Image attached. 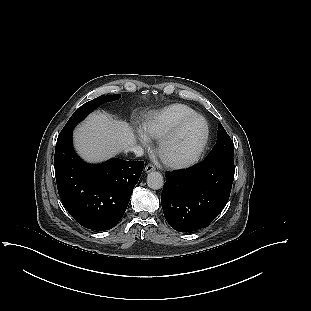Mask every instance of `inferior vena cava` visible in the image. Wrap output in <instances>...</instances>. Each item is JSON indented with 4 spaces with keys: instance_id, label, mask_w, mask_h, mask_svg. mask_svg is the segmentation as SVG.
Listing matches in <instances>:
<instances>
[{
    "instance_id": "inferior-vena-cava-1",
    "label": "inferior vena cava",
    "mask_w": 311,
    "mask_h": 311,
    "mask_svg": "<svg viewBox=\"0 0 311 311\" xmlns=\"http://www.w3.org/2000/svg\"><path fill=\"white\" fill-rule=\"evenodd\" d=\"M124 152L125 153L133 152L137 157H141L144 154V150L136 144H132V145L126 147L124 149Z\"/></svg>"
}]
</instances>
